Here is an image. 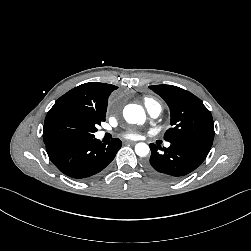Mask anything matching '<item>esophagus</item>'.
Instances as JSON below:
<instances>
[{"label": "esophagus", "mask_w": 251, "mask_h": 251, "mask_svg": "<svg viewBox=\"0 0 251 251\" xmlns=\"http://www.w3.org/2000/svg\"><path fill=\"white\" fill-rule=\"evenodd\" d=\"M126 143H127V144L133 145V144H135L136 142H135V141L128 140V141H126Z\"/></svg>", "instance_id": "1"}]
</instances>
